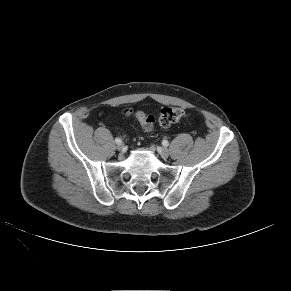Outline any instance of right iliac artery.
Returning a JSON list of instances; mask_svg holds the SVG:
<instances>
[{
  "label": "right iliac artery",
  "instance_id": "obj_1",
  "mask_svg": "<svg viewBox=\"0 0 291 291\" xmlns=\"http://www.w3.org/2000/svg\"><path fill=\"white\" fill-rule=\"evenodd\" d=\"M115 142H116L117 144H120V143H122V141H121V139H120V138H116V139H115Z\"/></svg>",
  "mask_w": 291,
  "mask_h": 291
}]
</instances>
